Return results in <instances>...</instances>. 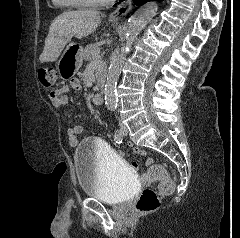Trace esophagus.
Masks as SVG:
<instances>
[{
	"label": "esophagus",
	"mask_w": 240,
	"mask_h": 238,
	"mask_svg": "<svg viewBox=\"0 0 240 238\" xmlns=\"http://www.w3.org/2000/svg\"><path fill=\"white\" fill-rule=\"evenodd\" d=\"M132 9V0H123L117 8L110 13L109 18L112 20H119L126 16Z\"/></svg>",
	"instance_id": "esophagus-1"
}]
</instances>
